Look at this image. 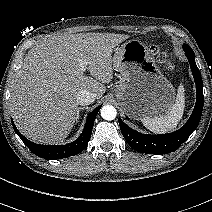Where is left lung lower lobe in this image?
Returning a JSON list of instances; mask_svg holds the SVG:
<instances>
[{"label": "left lung lower lobe", "mask_w": 212, "mask_h": 212, "mask_svg": "<svg viewBox=\"0 0 212 212\" xmlns=\"http://www.w3.org/2000/svg\"><path fill=\"white\" fill-rule=\"evenodd\" d=\"M186 52V51H185ZM194 76L197 91L196 105L186 124L179 130L160 135H146L136 132L127 126L120 118L119 125L127 143L136 151L148 154H167L175 151L188 139L197 128L201 119L204 96L201 74L195 63L194 52H186Z\"/></svg>", "instance_id": "left-lung-lower-lobe-1"}]
</instances>
